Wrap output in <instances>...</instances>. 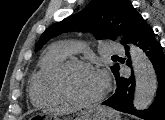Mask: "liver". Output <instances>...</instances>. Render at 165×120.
<instances>
[{
  "label": "liver",
  "instance_id": "6515ba94",
  "mask_svg": "<svg viewBox=\"0 0 165 120\" xmlns=\"http://www.w3.org/2000/svg\"><path fill=\"white\" fill-rule=\"evenodd\" d=\"M71 110H72L71 108L63 107V108H56L54 111H62V112H65V111H71Z\"/></svg>",
  "mask_w": 165,
  "mask_h": 120
}]
</instances>
